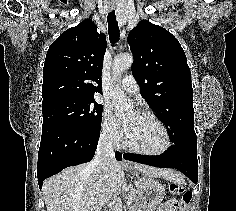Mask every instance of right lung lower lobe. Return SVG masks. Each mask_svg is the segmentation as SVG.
<instances>
[{"instance_id":"right-lung-lower-lobe-1","label":"right lung lower lobe","mask_w":236,"mask_h":211,"mask_svg":"<svg viewBox=\"0 0 236 211\" xmlns=\"http://www.w3.org/2000/svg\"><path fill=\"white\" fill-rule=\"evenodd\" d=\"M100 132L87 131L66 125H46L42 127L38 152V184L68 166L89 162L95 154ZM121 161L122 154L115 153Z\"/></svg>"}]
</instances>
